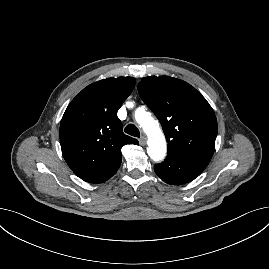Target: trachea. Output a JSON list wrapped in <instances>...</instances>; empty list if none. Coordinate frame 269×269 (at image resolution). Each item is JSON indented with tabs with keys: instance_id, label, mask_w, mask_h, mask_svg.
Listing matches in <instances>:
<instances>
[{
	"instance_id": "1",
	"label": "trachea",
	"mask_w": 269,
	"mask_h": 269,
	"mask_svg": "<svg viewBox=\"0 0 269 269\" xmlns=\"http://www.w3.org/2000/svg\"><path fill=\"white\" fill-rule=\"evenodd\" d=\"M124 131L134 137H140L139 129L134 124H128Z\"/></svg>"
}]
</instances>
